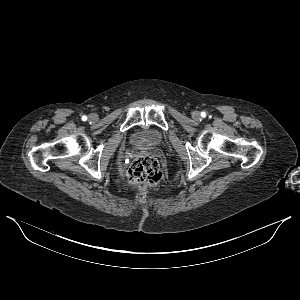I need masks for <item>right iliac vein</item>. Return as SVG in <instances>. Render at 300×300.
Returning a JSON list of instances; mask_svg holds the SVG:
<instances>
[{"label":"right iliac vein","instance_id":"obj_1","mask_svg":"<svg viewBox=\"0 0 300 300\" xmlns=\"http://www.w3.org/2000/svg\"><path fill=\"white\" fill-rule=\"evenodd\" d=\"M89 118H90L91 120H95V119H96V115H95V114H91V115L89 116Z\"/></svg>","mask_w":300,"mask_h":300}]
</instances>
